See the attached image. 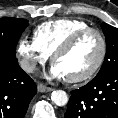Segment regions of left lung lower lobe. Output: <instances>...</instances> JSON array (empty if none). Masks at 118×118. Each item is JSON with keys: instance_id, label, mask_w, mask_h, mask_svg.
Masks as SVG:
<instances>
[{"instance_id": "obj_1", "label": "left lung lower lobe", "mask_w": 118, "mask_h": 118, "mask_svg": "<svg viewBox=\"0 0 118 118\" xmlns=\"http://www.w3.org/2000/svg\"><path fill=\"white\" fill-rule=\"evenodd\" d=\"M65 118H118V71L71 91Z\"/></svg>"}]
</instances>
